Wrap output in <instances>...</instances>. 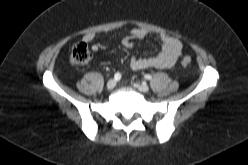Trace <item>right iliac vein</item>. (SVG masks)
I'll return each instance as SVG.
<instances>
[{"label": "right iliac vein", "instance_id": "63e3f726", "mask_svg": "<svg viewBox=\"0 0 248 165\" xmlns=\"http://www.w3.org/2000/svg\"><path fill=\"white\" fill-rule=\"evenodd\" d=\"M107 89L112 90L116 86V81L114 79H111L107 82Z\"/></svg>", "mask_w": 248, "mask_h": 165}]
</instances>
